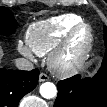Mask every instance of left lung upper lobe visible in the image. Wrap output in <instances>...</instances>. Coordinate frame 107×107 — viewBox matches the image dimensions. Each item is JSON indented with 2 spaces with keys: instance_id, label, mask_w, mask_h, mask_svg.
<instances>
[{
  "instance_id": "left-lung-upper-lobe-1",
  "label": "left lung upper lobe",
  "mask_w": 107,
  "mask_h": 107,
  "mask_svg": "<svg viewBox=\"0 0 107 107\" xmlns=\"http://www.w3.org/2000/svg\"><path fill=\"white\" fill-rule=\"evenodd\" d=\"M104 41H105V47L107 48V27L106 26H104ZM106 62H107V50L104 56L103 63L106 64Z\"/></svg>"
}]
</instances>
